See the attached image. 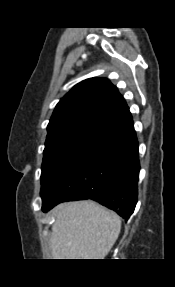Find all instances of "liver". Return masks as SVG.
<instances>
[{
	"label": "liver",
	"instance_id": "liver-1",
	"mask_svg": "<svg viewBox=\"0 0 175 287\" xmlns=\"http://www.w3.org/2000/svg\"><path fill=\"white\" fill-rule=\"evenodd\" d=\"M53 216V259H104L121 230L116 213L90 200L60 204Z\"/></svg>",
	"mask_w": 175,
	"mask_h": 287
}]
</instances>
